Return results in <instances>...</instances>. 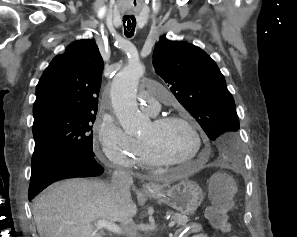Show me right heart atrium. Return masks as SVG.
I'll return each mask as SVG.
<instances>
[{
    "instance_id": "d8ad5b80",
    "label": "right heart atrium",
    "mask_w": 297,
    "mask_h": 237,
    "mask_svg": "<svg viewBox=\"0 0 297 237\" xmlns=\"http://www.w3.org/2000/svg\"><path fill=\"white\" fill-rule=\"evenodd\" d=\"M97 133L101 154L110 165L123 169L137 165L139 142L127 135L112 116L100 117Z\"/></svg>"
}]
</instances>
